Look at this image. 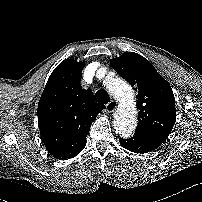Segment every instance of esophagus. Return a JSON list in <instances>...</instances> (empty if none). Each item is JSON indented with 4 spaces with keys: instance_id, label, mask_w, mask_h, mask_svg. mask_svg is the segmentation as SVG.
<instances>
[{
    "instance_id": "obj_1",
    "label": "esophagus",
    "mask_w": 202,
    "mask_h": 202,
    "mask_svg": "<svg viewBox=\"0 0 202 202\" xmlns=\"http://www.w3.org/2000/svg\"><path fill=\"white\" fill-rule=\"evenodd\" d=\"M117 106H118L117 101L112 100L106 105V110L108 113H112L116 110Z\"/></svg>"
}]
</instances>
